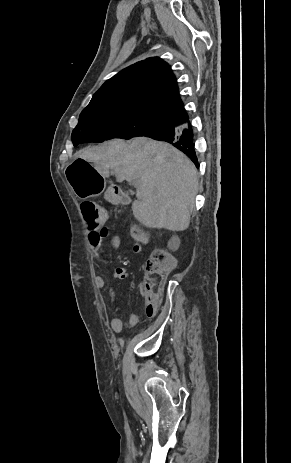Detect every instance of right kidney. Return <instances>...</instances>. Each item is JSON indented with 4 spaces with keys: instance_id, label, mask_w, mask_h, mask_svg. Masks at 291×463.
I'll use <instances>...</instances> for the list:
<instances>
[{
    "instance_id": "right-kidney-1",
    "label": "right kidney",
    "mask_w": 291,
    "mask_h": 463,
    "mask_svg": "<svg viewBox=\"0 0 291 463\" xmlns=\"http://www.w3.org/2000/svg\"><path fill=\"white\" fill-rule=\"evenodd\" d=\"M179 245H180V240H179V238L177 236H173L171 238V240L169 241V243H168V247L171 250L177 249L179 247Z\"/></svg>"
}]
</instances>
